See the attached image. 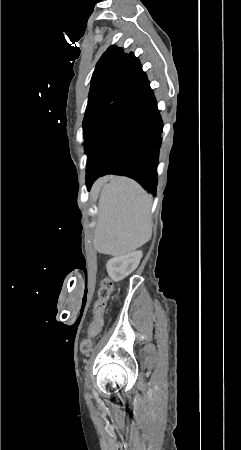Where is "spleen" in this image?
I'll return each mask as SVG.
<instances>
[{"mask_svg": "<svg viewBox=\"0 0 241 450\" xmlns=\"http://www.w3.org/2000/svg\"><path fill=\"white\" fill-rule=\"evenodd\" d=\"M152 196L130 178L113 176L101 190L94 247L100 254L126 256L152 236Z\"/></svg>", "mask_w": 241, "mask_h": 450, "instance_id": "1", "label": "spleen"}]
</instances>
